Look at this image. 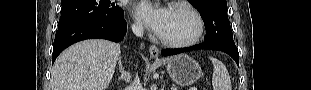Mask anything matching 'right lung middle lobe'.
Returning a JSON list of instances; mask_svg holds the SVG:
<instances>
[{
	"mask_svg": "<svg viewBox=\"0 0 311 90\" xmlns=\"http://www.w3.org/2000/svg\"><path fill=\"white\" fill-rule=\"evenodd\" d=\"M58 28L84 20H117L124 17L123 9L111 0H62Z\"/></svg>",
	"mask_w": 311,
	"mask_h": 90,
	"instance_id": "dd1d6c3e",
	"label": "right lung middle lobe"
}]
</instances>
